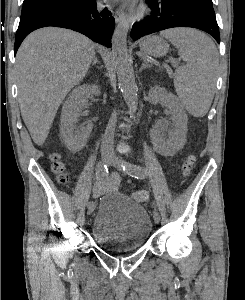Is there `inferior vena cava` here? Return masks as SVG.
Segmentation results:
<instances>
[{"label":"inferior vena cava","instance_id":"obj_1","mask_svg":"<svg viewBox=\"0 0 245 300\" xmlns=\"http://www.w3.org/2000/svg\"><path fill=\"white\" fill-rule=\"evenodd\" d=\"M116 124V112L114 111L109 120L108 126L106 128L103 142H102V151H111L114 142V132Z\"/></svg>","mask_w":245,"mask_h":300}]
</instances>
